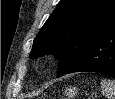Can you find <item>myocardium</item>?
Returning a JSON list of instances; mask_svg holds the SVG:
<instances>
[{
    "mask_svg": "<svg viewBox=\"0 0 115 99\" xmlns=\"http://www.w3.org/2000/svg\"><path fill=\"white\" fill-rule=\"evenodd\" d=\"M50 60H51L50 56H43V57L41 58V62H42L43 64H48V63L50 62Z\"/></svg>",
    "mask_w": 115,
    "mask_h": 99,
    "instance_id": "f54148a6",
    "label": "myocardium"
}]
</instances>
